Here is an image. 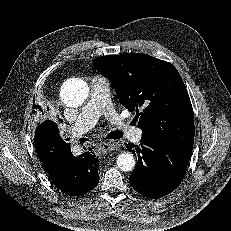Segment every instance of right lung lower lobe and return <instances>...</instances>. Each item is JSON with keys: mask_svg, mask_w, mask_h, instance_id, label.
<instances>
[{"mask_svg": "<svg viewBox=\"0 0 231 231\" xmlns=\"http://www.w3.org/2000/svg\"><path fill=\"white\" fill-rule=\"evenodd\" d=\"M34 143L44 169L58 189L71 196H81L97 186L98 159L91 152L73 156L70 144L60 137L56 123L40 124Z\"/></svg>", "mask_w": 231, "mask_h": 231, "instance_id": "obj_1", "label": "right lung lower lobe"}]
</instances>
